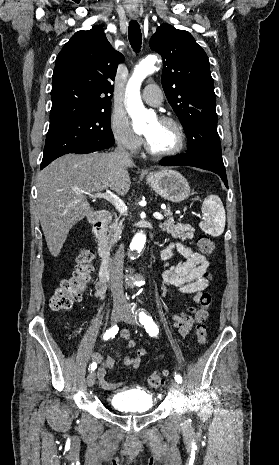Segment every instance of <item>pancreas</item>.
Here are the masks:
<instances>
[{"mask_svg": "<svg viewBox=\"0 0 279 465\" xmlns=\"http://www.w3.org/2000/svg\"><path fill=\"white\" fill-rule=\"evenodd\" d=\"M164 215L167 217V220L159 224L162 231H166L167 234L171 235L173 238L185 239L192 237L194 232L193 227L189 224H175L171 217L172 213L170 210H166ZM123 221L124 220L116 219L115 222L108 227V235L104 238V241L108 246H113L121 238L122 229L124 227Z\"/></svg>", "mask_w": 279, "mask_h": 465, "instance_id": "pancreas-1", "label": "pancreas"}]
</instances>
